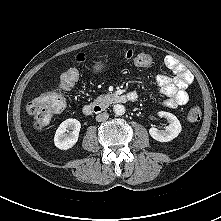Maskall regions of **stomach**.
I'll use <instances>...</instances> for the list:
<instances>
[{
    "label": "stomach",
    "mask_w": 221,
    "mask_h": 221,
    "mask_svg": "<svg viewBox=\"0 0 221 221\" xmlns=\"http://www.w3.org/2000/svg\"><path fill=\"white\" fill-rule=\"evenodd\" d=\"M94 68L96 71H101L104 68V65L101 63H97Z\"/></svg>",
    "instance_id": "1"
}]
</instances>
